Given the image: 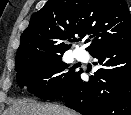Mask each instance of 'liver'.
I'll list each match as a JSON object with an SVG mask.
<instances>
[{"mask_svg": "<svg viewBox=\"0 0 131 115\" xmlns=\"http://www.w3.org/2000/svg\"><path fill=\"white\" fill-rule=\"evenodd\" d=\"M4 115H77L58 105L39 104L33 100H17L5 110Z\"/></svg>", "mask_w": 131, "mask_h": 115, "instance_id": "obj_1", "label": "liver"}]
</instances>
